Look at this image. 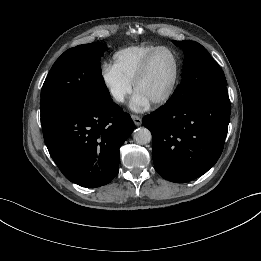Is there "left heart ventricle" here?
Wrapping results in <instances>:
<instances>
[{"label":"left heart ventricle","instance_id":"left-heart-ventricle-1","mask_svg":"<svg viewBox=\"0 0 261 261\" xmlns=\"http://www.w3.org/2000/svg\"><path fill=\"white\" fill-rule=\"evenodd\" d=\"M174 58L168 51H161L153 58L149 71L139 84L137 92L150 102L162 96L169 88L174 75Z\"/></svg>","mask_w":261,"mask_h":261}]
</instances>
